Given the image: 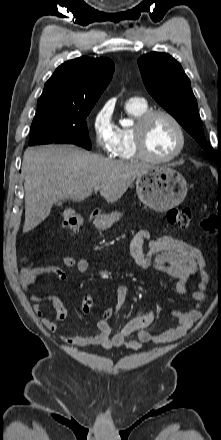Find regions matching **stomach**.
<instances>
[{
  "mask_svg": "<svg viewBox=\"0 0 221 440\" xmlns=\"http://www.w3.org/2000/svg\"><path fill=\"white\" fill-rule=\"evenodd\" d=\"M139 199L151 209L163 212L179 205L187 194L185 178L168 166H152L136 179ZM121 217L120 212L104 214L95 219V226L105 230Z\"/></svg>",
  "mask_w": 221,
  "mask_h": 440,
  "instance_id": "0dacf381",
  "label": "stomach"
}]
</instances>
